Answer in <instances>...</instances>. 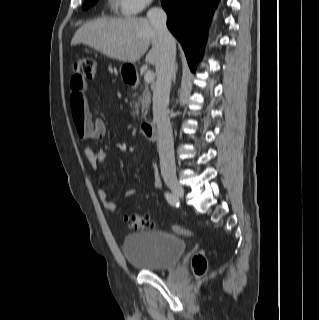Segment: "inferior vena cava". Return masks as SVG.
<instances>
[{"instance_id":"1","label":"inferior vena cava","mask_w":319,"mask_h":320,"mask_svg":"<svg viewBox=\"0 0 319 320\" xmlns=\"http://www.w3.org/2000/svg\"><path fill=\"white\" fill-rule=\"evenodd\" d=\"M147 18L157 32L162 55L157 68L156 86L153 91V116L158 127V149L163 176H175L174 142L170 119L167 114L171 80L175 71L176 45L166 26V13L161 8H152Z\"/></svg>"}]
</instances>
